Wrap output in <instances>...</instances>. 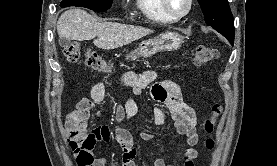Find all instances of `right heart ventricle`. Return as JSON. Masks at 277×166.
Here are the masks:
<instances>
[{
	"label": "right heart ventricle",
	"instance_id": "obj_1",
	"mask_svg": "<svg viewBox=\"0 0 277 166\" xmlns=\"http://www.w3.org/2000/svg\"><path fill=\"white\" fill-rule=\"evenodd\" d=\"M136 6L150 21L156 23H171L174 21L164 12L160 0H136Z\"/></svg>",
	"mask_w": 277,
	"mask_h": 166
}]
</instances>
